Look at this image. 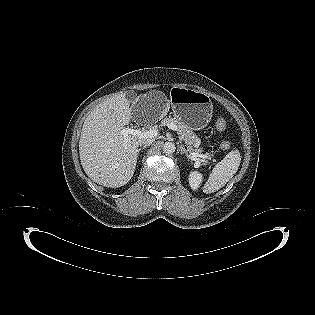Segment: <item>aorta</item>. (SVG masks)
<instances>
[{
	"instance_id": "aorta-1",
	"label": "aorta",
	"mask_w": 315,
	"mask_h": 315,
	"mask_svg": "<svg viewBox=\"0 0 315 315\" xmlns=\"http://www.w3.org/2000/svg\"><path fill=\"white\" fill-rule=\"evenodd\" d=\"M175 144L172 142H165V144L163 145V152L166 154H172L175 152Z\"/></svg>"
}]
</instances>
